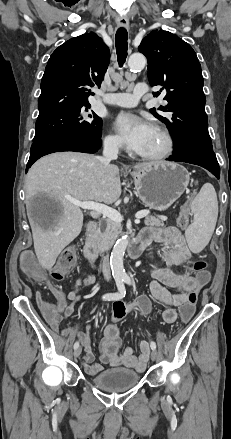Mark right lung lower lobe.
Here are the masks:
<instances>
[{
	"instance_id": "obj_1",
	"label": "right lung lower lobe",
	"mask_w": 231,
	"mask_h": 439,
	"mask_svg": "<svg viewBox=\"0 0 231 439\" xmlns=\"http://www.w3.org/2000/svg\"><path fill=\"white\" fill-rule=\"evenodd\" d=\"M101 137L59 136L33 142L26 172L40 157L62 151L95 153L101 146Z\"/></svg>"
}]
</instances>
